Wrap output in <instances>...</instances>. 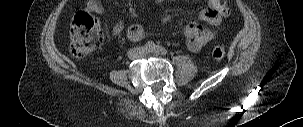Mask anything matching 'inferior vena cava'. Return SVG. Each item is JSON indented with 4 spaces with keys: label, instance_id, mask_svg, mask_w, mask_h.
Instances as JSON below:
<instances>
[{
    "label": "inferior vena cava",
    "instance_id": "obj_1",
    "mask_svg": "<svg viewBox=\"0 0 303 127\" xmlns=\"http://www.w3.org/2000/svg\"><path fill=\"white\" fill-rule=\"evenodd\" d=\"M142 56H144V52L138 47L132 48L128 51V57L132 60L141 58Z\"/></svg>",
    "mask_w": 303,
    "mask_h": 127
}]
</instances>
